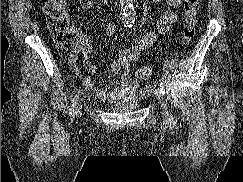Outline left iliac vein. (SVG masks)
Here are the masks:
<instances>
[{
    "label": "left iliac vein",
    "mask_w": 243,
    "mask_h": 182,
    "mask_svg": "<svg viewBox=\"0 0 243 182\" xmlns=\"http://www.w3.org/2000/svg\"><path fill=\"white\" fill-rule=\"evenodd\" d=\"M155 94H156L159 102L161 103V109H162L161 114H162L163 123L168 124L169 123V112H168L167 106L164 102L163 94L159 88L155 89Z\"/></svg>",
    "instance_id": "left-iliac-vein-1"
}]
</instances>
